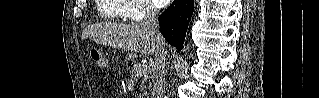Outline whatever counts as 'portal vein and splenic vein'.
Here are the masks:
<instances>
[{
  "label": "portal vein and splenic vein",
  "mask_w": 319,
  "mask_h": 98,
  "mask_svg": "<svg viewBox=\"0 0 319 98\" xmlns=\"http://www.w3.org/2000/svg\"><path fill=\"white\" fill-rule=\"evenodd\" d=\"M148 66H142V67H138V65H134L133 66V71L136 75H142L143 73H145L146 71H148Z\"/></svg>",
  "instance_id": "18ae733b"
}]
</instances>
